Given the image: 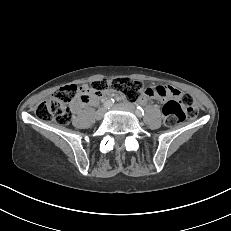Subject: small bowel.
Masks as SVG:
<instances>
[{
    "instance_id": "small-bowel-1",
    "label": "small bowel",
    "mask_w": 231,
    "mask_h": 231,
    "mask_svg": "<svg viewBox=\"0 0 231 231\" xmlns=\"http://www.w3.org/2000/svg\"><path fill=\"white\" fill-rule=\"evenodd\" d=\"M80 92L83 98H78L73 103V108L75 110H79L84 105L95 104L100 97L98 93H95L87 85H83L80 88ZM179 93L180 92L178 91V89L171 85L150 87L147 88L143 95L140 97L139 102L145 104L152 99H159L165 101L168 99L176 98L179 95Z\"/></svg>"
}]
</instances>
